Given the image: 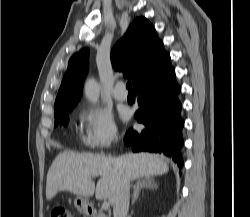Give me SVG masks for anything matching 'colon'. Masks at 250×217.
Segmentation results:
<instances>
[{
	"mask_svg": "<svg viewBox=\"0 0 250 217\" xmlns=\"http://www.w3.org/2000/svg\"><path fill=\"white\" fill-rule=\"evenodd\" d=\"M50 217H73V216L67 207L56 206L52 209Z\"/></svg>",
	"mask_w": 250,
	"mask_h": 217,
	"instance_id": "1",
	"label": "colon"
}]
</instances>
